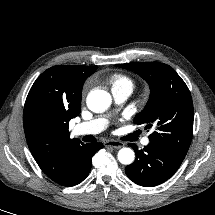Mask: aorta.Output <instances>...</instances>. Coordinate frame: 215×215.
Instances as JSON below:
<instances>
[{
    "label": "aorta",
    "mask_w": 215,
    "mask_h": 215,
    "mask_svg": "<svg viewBox=\"0 0 215 215\" xmlns=\"http://www.w3.org/2000/svg\"><path fill=\"white\" fill-rule=\"evenodd\" d=\"M87 106L93 112H103L109 108L112 99L104 90L91 91L87 96ZM134 152L130 148H122L118 152V160L121 164L129 165L134 161Z\"/></svg>",
    "instance_id": "aorta-1"
}]
</instances>
